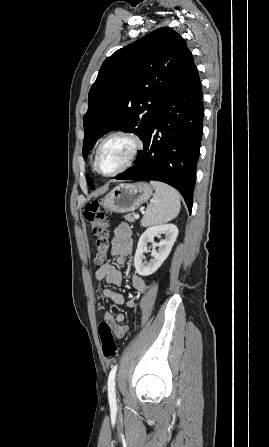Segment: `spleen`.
<instances>
[{
  "instance_id": "spleen-1",
  "label": "spleen",
  "mask_w": 269,
  "mask_h": 447,
  "mask_svg": "<svg viewBox=\"0 0 269 447\" xmlns=\"http://www.w3.org/2000/svg\"><path fill=\"white\" fill-rule=\"evenodd\" d=\"M155 188L153 196L154 202L148 204L146 214H144L141 225L166 224L170 220H174L180 212V196L177 190L162 184V182H150Z\"/></svg>"
}]
</instances>
